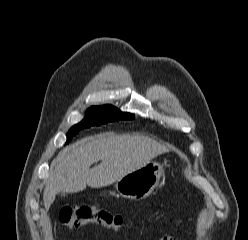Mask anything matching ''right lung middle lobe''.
I'll return each mask as SVG.
<instances>
[{
	"instance_id": "obj_1",
	"label": "right lung middle lobe",
	"mask_w": 248,
	"mask_h": 240,
	"mask_svg": "<svg viewBox=\"0 0 248 240\" xmlns=\"http://www.w3.org/2000/svg\"><path fill=\"white\" fill-rule=\"evenodd\" d=\"M134 115L121 112L112 105L92 106L86 112V117L78 124L70 128L67 135V143L79 133V130L91 126H99L107 122L133 119Z\"/></svg>"
}]
</instances>
